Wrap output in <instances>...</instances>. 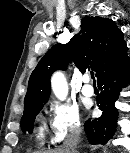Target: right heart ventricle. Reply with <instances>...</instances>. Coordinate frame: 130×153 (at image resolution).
Instances as JSON below:
<instances>
[{
	"mask_svg": "<svg viewBox=\"0 0 130 153\" xmlns=\"http://www.w3.org/2000/svg\"><path fill=\"white\" fill-rule=\"evenodd\" d=\"M38 135H39L40 138L43 137V127L42 126L39 127Z\"/></svg>",
	"mask_w": 130,
	"mask_h": 153,
	"instance_id": "e07e8e85",
	"label": "right heart ventricle"
}]
</instances>
